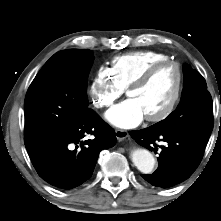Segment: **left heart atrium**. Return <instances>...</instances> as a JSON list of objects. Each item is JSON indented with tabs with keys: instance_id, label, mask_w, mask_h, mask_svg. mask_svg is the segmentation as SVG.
I'll return each mask as SVG.
<instances>
[{
	"instance_id": "39dd6f15",
	"label": "left heart atrium",
	"mask_w": 221,
	"mask_h": 221,
	"mask_svg": "<svg viewBox=\"0 0 221 221\" xmlns=\"http://www.w3.org/2000/svg\"><path fill=\"white\" fill-rule=\"evenodd\" d=\"M145 114L134 98H128L106 113V119L116 127L129 129L139 125Z\"/></svg>"
}]
</instances>
